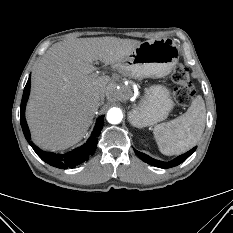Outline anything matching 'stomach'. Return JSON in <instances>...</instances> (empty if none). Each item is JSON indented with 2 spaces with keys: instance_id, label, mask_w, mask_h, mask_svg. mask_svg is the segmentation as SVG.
<instances>
[{
  "instance_id": "obj_1",
  "label": "stomach",
  "mask_w": 233,
  "mask_h": 233,
  "mask_svg": "<svg viewBox=\"0 0 233 233\" xmlns=\"http://www.w3.org/2000/svg\"><path fill=\"white\" fill-rule=\"evenodd\" d=\"M179 50L169 38L140 43L116 64L124 75L135 79L161 78L171 73L178 63ZM174 107L169 90L162 85L145 89L139 105L129 113L130 123L143 128L165 120Z\"/></svg>"
}]
</instances>
